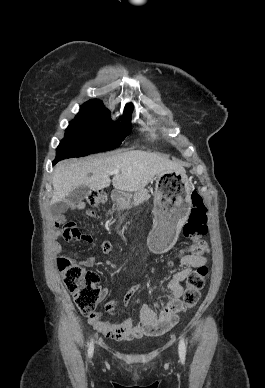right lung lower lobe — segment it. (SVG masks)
Segmentation results:
<instances>
[{
  "mask_svg": "<svg viewBox=\"0 0 265 388\" xmlns=\"http://www.w3.org/2000/svg\"><path fill=\"white\" fill-rule=\"evenodd\" d=\"M59 160H61V159H59V158L56 157V159L53 161V165H54L57 161H59Z\"/></svg>",
  "mask_w": 265,
  "mask_h": 388,
  "instance_id": "1",
  "label": "right lung lower lobe"
}]
</instances>
